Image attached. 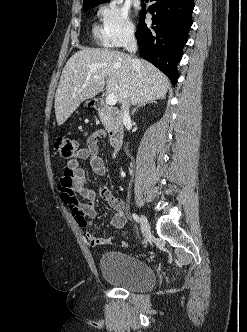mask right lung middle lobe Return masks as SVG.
<instances>
[{"mask_svg":"<svg viewBox=\"0 0 247 332\" xmlns=\"http://www.w3.org/2000/svg\"><path fill=\"white\" fill-rule=\"evenodd\" d=\"M97 5H99V4H93V5L84 6L83 10L88 11V10H90L91 8H93V7L97 6Z\"/></svg>","mask_w":247,"mask_h":332,"instance_id":"dd1d6c3e","label":"right lung middle lobe"}]
</instances>
